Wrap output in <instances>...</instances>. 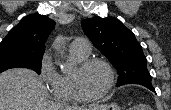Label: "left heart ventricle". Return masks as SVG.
<instances>
[{
    "instance_id": "b2bd125f",
    "label": "left heart ventricle",
    "mask_w": 171,
    "mask_h": 110,
    "mask_svg": "<svg viewBox=\"0 0 171 110\" xmlns=\"http://www.w3.org/2000/svg\"><path fill=\"white\" fill-rule=\"evenodd\" d=\"M109 82V74L102 65L95 64L80 75L82 90L90 95H98L104 91Z\"/></svg>"
}]
</instances>
